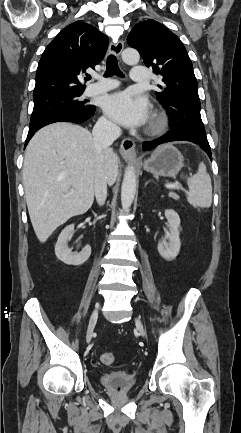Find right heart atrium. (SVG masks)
<instances>
[{
  "mask_svg": "<svg viewBox=\"0 0 241 433\" xmlns=\"http://www.w3.org/2000/svg\"><path fill=\"white\" fill-rule=\"evenodd\" d=\"M99 128H100L102 131H104V132H108V133H112V132L115 131V126H114L110 121H108V120L105 119V118H102V119L99 121Z\"/></svg>",
  "mask_w": 241,
  "mask_h": 433,
  "instance_id": "right-heart-atrium-1",
  "label": "right heart atrium"
}]
</instances>
